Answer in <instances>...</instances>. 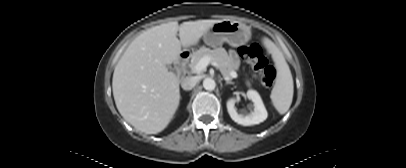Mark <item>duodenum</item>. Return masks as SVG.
I'll return each mask as SVG.
<instances>
[{
	"label": "duodenum",
	"instance_id": "obj_1",
	"mask_svg": "<svg viewBox=\"0 0 406 168\" xmlns=\"http://www.w3.org/2000/svg\"><path fill=\"white\" fill-rule=\"evenodd\" d=\"M189 58H190V52H188V51L181 52L178 55V57L176 58L175 67H176L177 72L180 75H184V69H185L186 63L189 60Z\"/></svg>",
	"mask_w": 406,
	"mask_h": 168
}]
</instances>
